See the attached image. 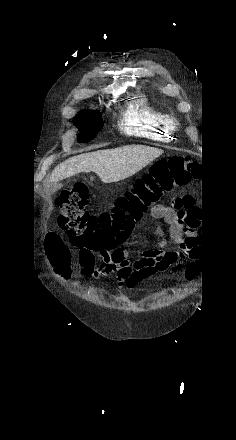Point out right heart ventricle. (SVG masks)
<instances>
[{
    "label": "right heart ventricle",
    "mask_w": 236,
    "mask_h": 440,
    "mask_svg": "<svg viewBox=\"0 0 236 440\" xmlns=\"http://www.w3.org/2000/svg\"><path fill=\"white\" fill-rule=\"evenodd\" d=\"M121 126L128 135L154 142H168L174 122L170 113L162 106L152 103L144 95H137L126 105Z\"/></svg>",
    "instance_id": "right-heart-ventricle-1"
}]
</instances>
